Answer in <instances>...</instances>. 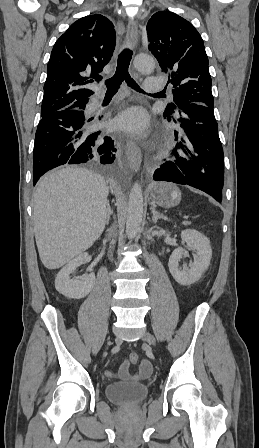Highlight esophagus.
I'll use <instances>...</instances> for the list:
<instances>
[{
	"label": "esophagus",
	"instance_id": "obj_1",
	"mask_svg": "<svg viewBox=\"0 0 259 448\" xmlns=\"http://www.w3.org/2000/svg\"><path fill=\"white\" fill-rule=\"evenodd\" d=\"M126 40L129 47H136L138 41V27L134 20L128 22ZM126 156L130 170L137 172L142 162V152L139 147L130 140L126 143Z\"/></svg>",
	"mask_w": 259,
	"mask_h": 448
}]
</instances>
